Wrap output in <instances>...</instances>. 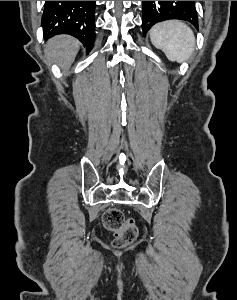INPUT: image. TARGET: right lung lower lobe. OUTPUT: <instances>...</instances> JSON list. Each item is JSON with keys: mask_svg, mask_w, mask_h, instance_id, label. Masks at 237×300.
Here are the masks:
<instances>
[{"mask_svg": "<svg viewBox=\"0 0 237 300\" xmlns=\"http://www.w3.org/2000/svg\"><path fill=\"white\" fill-rule=\"evenodd\" d=\"M42 26L44 38L69 34L90 51L95 40V1H46Z\"/></svg>", "mask_w": 237, "mask_h": 300, "instance_id": "obj_1", "label": "right lung lower lobe"}]
</instances>
